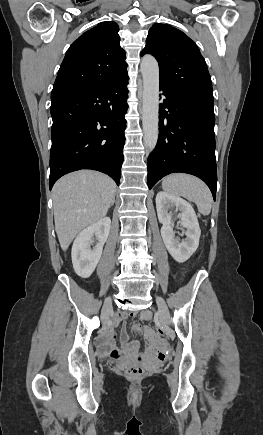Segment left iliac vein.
<instances>
[{
  "mask_svg": "<svg viewBox=\"0 0 263 435\" xmlns=\"http://www.w3.org/2000/svg\"><path fill=\"white\" fill-rule=\"evenodd\" d=\"M156 302L158 305L159 315H160L162 322L169 325L170 324V314H169V310H168V307H167L165 301L161 297H157Z\"/></svg>",
  "mask_w": 263,
  "mask_h": 435,
  "instance_id": "1",
  "label": "left iliac vein"
}]
</instances>
